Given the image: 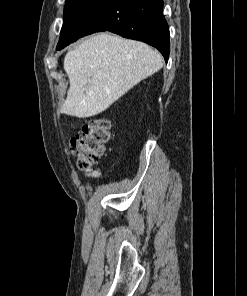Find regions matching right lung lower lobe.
<instances>
[{
  "mask_svg": "<svg viewBox=\"0 0 247 296\" xmlns=\"http://www.w3.org/2000/svg\"><path fill=\"white\" fill-rule=\"evenodd\" d=\"M110 31L157 48L168 61L169 28L163 0H108L89 20L83 36Z\"/></svg>",
  "mask_w": 247,
  "mask_h": 296,
  "instance_id": "right-lung-lower-lobe-1",
  "label": "right lung lower lobe"
}]
</instances>
